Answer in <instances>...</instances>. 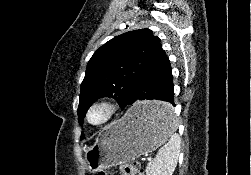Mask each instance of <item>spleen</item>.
<instances>
[{
    "mask_svg": "<svg viewBox=\"0 0 251 175\" xmlns=\"http://www.w3.org/2000/svg\"><path fill=\"white\" fill-rule=\"evenodd\" d=\"M164 133H167V143L160 147L154 161L147 165V175H172L180 153V135L176 131L174 113L171 109L157 111Z\"/></svg>",
    "mask_w": 251,
    "mask_h": 175,
    "instance_id": "obj_1",
    "label": "spleen"
}]
</instances>
